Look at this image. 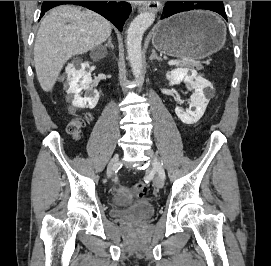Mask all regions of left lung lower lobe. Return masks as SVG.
<instances>
[{"label":"left lung lower lobe","instance_id":"left-lung-lower-lobe-1","mask_svg":"<svg viewBox=\"0 0 271 266\" xmlns=\"http://www.w3.org/2000/svg\"><path fill=\"white\" fill-rule=\"evenodd\" d=\"M193 9L211 10L227 20L224 5L216 1H169L165 4L161 18L165 19L176 13Z\"/></svg>","mask_w":271,"mask_h":266}]
</instances>
